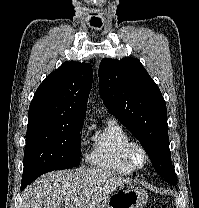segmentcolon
<instances>
[{
	"mask_svg": "<svg viewBox=\"0 0 199 208\" xmlns=\"http://www.w3.org/2000/svg\"><path fill=\"white\" fill-rule=\"evenodd\" d=\"M150 208H157L156 206H150ZM159 208H166L164 205H161Z\"/></svg>",
	"mask_w": 199,
	"mask_h": 208,
	"instance_id": "obj_1",
	"label": "colon"
}]
</instances>
